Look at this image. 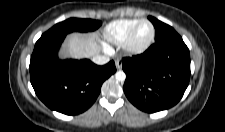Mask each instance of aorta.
Listing matches in <instances>:
<instances>
[{"label":"aorta","mask_w":225,"mask_h":132,"mask_svg":"<svg viewBox=\"0 0 225 132\" xmlns=\"http://www.w3.org/2000/svg\"><path fill=\"white\" fill-rule=\"evenodd\" d=\"M115 78L118 80V81H124L126 79V74L123 72V71H117L116 74H115Z\"/></svg>","instance_id":"762f6f07"}]
</instances>
